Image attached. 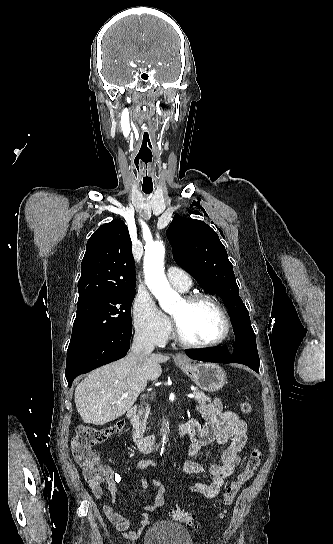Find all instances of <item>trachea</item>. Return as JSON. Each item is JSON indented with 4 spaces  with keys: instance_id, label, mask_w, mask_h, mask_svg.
Masks as SVG:
<instances>
[{
    "instance_id": "obj_1",
    "label": "trachea",
    "mask_w": 333,
    "mask_h": 544,
    "mask_svg": "<svg viewBox=\"0 0 333 544\" xmlns=\"http://www.w3.org/2000/svg\"><path fill=\"white\" fill-rule=\"evenodd\" d=\"M152 191H153V189H143V192H144L145 194H151Z\"/></svg>"
}]
</instances>
